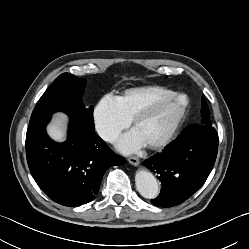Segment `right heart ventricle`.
Masks as SVG:
<instances>
[{"label": "right heart ventricle", "mask_w": 249, "mask_h": 249, "mask_svg": "<svg viewBox=\"0 0 249 249\" xmlns=\"http://www.w3.org/2000/svg\"><path fill=\"white\" fill-rule=\"evenodd\" d=\"M172 92L161 86H145L128 89L123 94L114 97L123 114L132 121L146 105Z\"/></svg>", "instance_id": "e07e8e85"}]
</instances>
